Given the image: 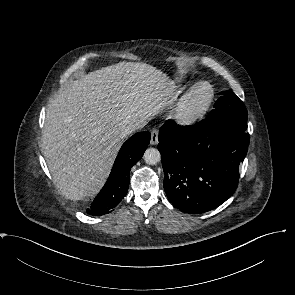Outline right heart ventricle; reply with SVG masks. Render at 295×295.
Instances as JSON below:
<instances>
[{
	"label": "right heart ventricle",
	"instance_id": "right-heart-ventricle-1",
	"mask_svg": "<svg viewBox=\"0 0 295 295\" xmlns=\"http://www.w3.org/2000/svg\"><path fill=\"white\" fill-rule=\"evenodd\" d=\"M184 81L181 77L175 76L168 82V92L177 93L183 89Z\"/></svg>",
	"mask_w": 295,
	"mask_h": 295
}]
</instances>
